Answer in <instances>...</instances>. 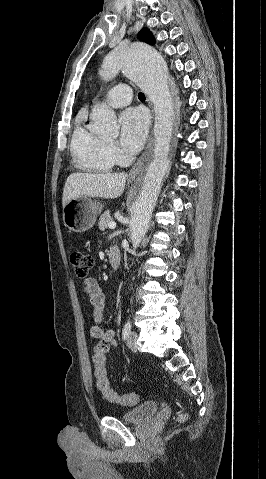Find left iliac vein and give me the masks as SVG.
<instances>
[{
    "mask_svg": "<svg viewBox=\"0 0 266 479\" xmlns=\"http://www.w3.org/2000/svg\"><path fill=\"white\" fill-rule=\"evenodd\" d=\"M137 338H138V334L134 331L130 332V334L128 335V338H127V346L130 350L136 352L138 347H137Z\"/></svg>",
    "mask_w": 266,
    "mask_h": 479,
    "instance_id": "1",
    "label": "left iliac vein"
}]
</instances>
